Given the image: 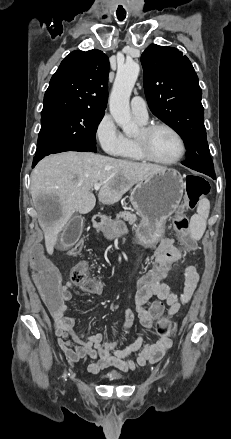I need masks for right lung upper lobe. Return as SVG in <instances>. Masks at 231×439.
Segmentation results:
<instances>
[{"label":"right lung upper lobe","mask_w":231,"mask_h":439,"mask_svg":"<svg viewBox=\"0 0 231 439\" xmlns=\"http://www.w3.org/2000/svg\"><path fill=\"white\" fill-rule=\"evenodd\" d=\"M108 72L109 60L102 51L71 52L50 80L41 116L74 110L105 112Z\"/></svg>","instance_id":"cb5924a9"}]
</instances>
